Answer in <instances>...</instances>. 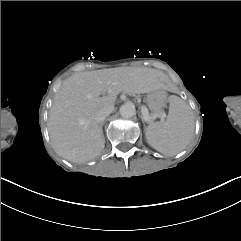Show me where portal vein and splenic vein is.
<instances>
[{
  "mask_svg": "<svg viewBox=\"0 0 241 241\" xmlns=\"http://www.w3.org/2000/svg\"><path fill=\"white\" fill-rule=\"evenodd\" d=\"M141 113L144 115L143 123L153 124V121L156 118H161V120H166V115L164 112V108H159V111H155V113H148V108L146 106H141Z\"/></svg>",
  "mask_w": 241,
  "mask_h": 241,
  "instance_id": "portal-vein-and-splenic-vein-1",
  "label": "portal vein and splenic vein"
}]
</instances>
